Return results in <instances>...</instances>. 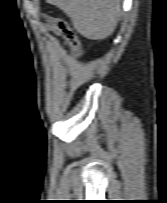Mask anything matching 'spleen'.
<instances>
[{
    "label": "spleen",
    "mask_w": 167,
    "mask_h": 203,
    "mask_svg": "<svg viewBox=\"0 0 167 203\" xmlns=\"http://www.w3.org/2000/svg\"><path fill=\"white\" fill-rule=\"evenodd\" d=\"M68 17L78 33L93 40L110 36L118 23L120 0H47Z\"/></svg>",
    "instance_id": "3e777b00"
}]
</instances>
